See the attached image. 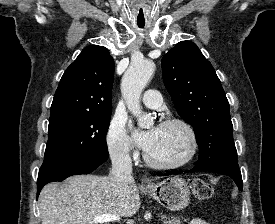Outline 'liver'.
Returning <instances> with one entry per match:
<instances>
[{
	"instance_id": "1",
	"label": "liver",
	"mask_w": 275,
	"mask_h": 224,
	"mask_svg": "<svg viewBox=\"0 0 275 224\" xmlns=\"http://www.w3.org/2000/svg\"><path fill=\"white\" fill-rule=\"evenodd\" d=\"M140 205L136 184L121 187L112 174L74 175L62 185L47 184L39 195L42 224H94L105 214L131 217Z\"/></svg>"
}]
</instances>
